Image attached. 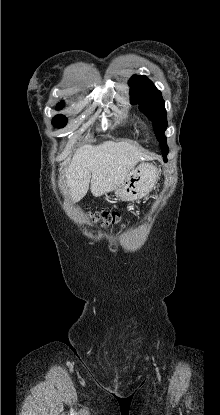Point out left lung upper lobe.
<instances>
[{
	"mask_svg": "<svg viewBox=\"0 0 220 415\" xmlns=\"http://www.w3.org/2000/svg\"><path fill=\"white\" fill-rule=\"evenodd\" d=\"M129 86L131 104H138L140 111L153 122L154 132L160 143L163 157H166L168 146L164 132L167 128V119L161 92L146 76L134 75L129 80Z\"/></svg>",
	"mask_w": 220,
	"mask_h": 415,
	"instance_id": "left-lung-upper-lobe-1",
	"label": "left lung upper lobe"
}]
</instances>
